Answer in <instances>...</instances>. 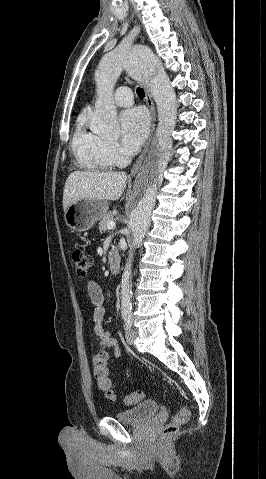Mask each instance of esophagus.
I'll use <instances>...</instances> for the list:
<instances>
[{"instance_id":"34e87169","label":"esophagus","mask_w":266,"mask_h":479,"mask_svg":"<svg viewBox=\"0 0 266 479\" xmlns=\"http://www.w3.org/2000/svg\"><path fill=\"white\" fill-rule=\"evenodd\" d=\"M145 98H146V102H147V105L149 107V110H150V116H151V129H150V136H149V139L142 151V153L140 154L139 158L137 159V161L135 162V164L133 165L132 169H131V175L132 176H135L143 161H144V158L148 152V149L151 145V141H152V137H153V133H154V130H155V125H156V110H155V106H154V103H153V100L150 96V94L146 91L145 93Z\"/></svg>"}]
</instances>
